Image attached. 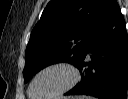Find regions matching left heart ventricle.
Returning <instances> with one entry per match:
<instances>
[{"mask_svg":"<svg viewBox=\"0 0 128 99\" xmlns=\"http://www.w3.org/2000/svg\"><path fill=\"white\" fill-rule=\"evenodd\" d=\"M70 78V73L66 69L56 68L48 70L37 78L32 93L35 97L52 95L66 86Z\"/></svg>","mask_w":128,"mask_h":99,"instance_id":"left-heart-ventricle-1","label":"left heart ventricle"}]
</instances>
